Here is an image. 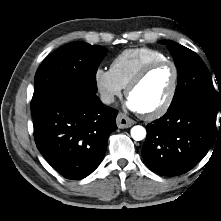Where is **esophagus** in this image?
I'll return each mask as SVG.
<instances>
[{
  "mask_svg": "<svg viewBox=\"0 0 221 221\" xmlns=\"http://www.w3.org/2000/svg\"><path fill=\"white\" fill-rule=\"evenodd\" d=\"M117 126L119 128H129L134 125L135 121L127 117L123 113H119L116 118Z\"/></svg>",
  "mask_w": 221,
  "mask_h": 221,
  "instance_id": "obj_1",
  "label": "esophagus"
}]
</instances>
